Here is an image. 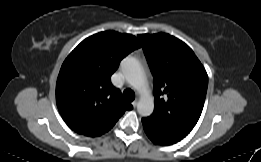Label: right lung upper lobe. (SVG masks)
Returning <instances> with one entry per match:
<instances>
[{
    "mask_svg": "<svg viewBox=\"0 0 261 162\" xmlns=\"http://www.w3.org/2000/svg\"><path fill=\"white\" fill-rule=\"evenodd\" d=\"M141 45L135 36L105 31L83 40L66 58L56 84V103L75 132L97 137L133 107L110 82L120 61Z\"/></svg>",
    "mask_w": 261,
    "mask_h": 162,
    "instance_id": "right-lung-upper-lobe-1",
    "label": "right lung upper lobe"
}]
</instances>
